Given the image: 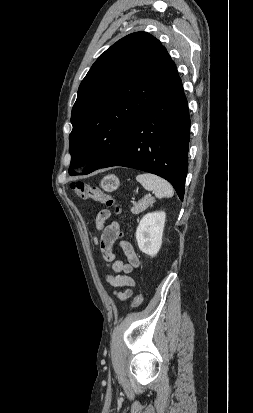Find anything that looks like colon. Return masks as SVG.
I'll use <instances>...</instances> for the list:
<instances>
[{
	"label": "colon",
	"mask_w": 253,
	"mask_h": 413,
	"mask_svg": "<svg viewBox=\"0 0 253 413\" xmlns=\"http://www.w3.org/2000/svg\"><path fill=\"white\" fill-rule=\"evenodd\" d=\"M71 188L75 194L82 199H91L93 201L99 202L112 208L115 214L121 215L122 209L117 204L115 199L108 193L104 192L97 186L89 185L82 181L72 182ZM123 219V217H121ZM122 235V234H120ZM143 301L142 295L140 293L136 294L133 298L130 308H138Z\"/></svg>",
	"instance_id": "colon-1"
}]
</instances>
